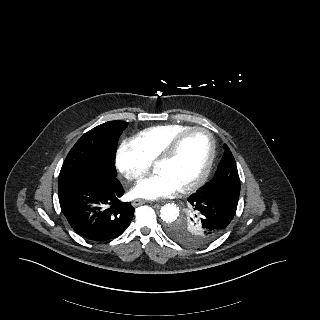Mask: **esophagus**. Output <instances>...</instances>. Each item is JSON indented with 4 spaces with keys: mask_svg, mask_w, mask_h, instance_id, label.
<instances>
[{
    "mask_svg": "<svg viewBox=\"0 0 320 320\" xmlns=\"http://www.w3.org/2000/svg\"><path fill=\"white\" fill-rule=\"evenodd\" d=\"M148 201L144 200V199H135L133 202H132V205L134 207H137L139 205H142V204H145L147 203Z\"/></svg>",
    "mask_w": 320,
    "mask_h": 320,
    "instance_id": "34e87169",
    "label": "esophagus"
}]
</instances>
